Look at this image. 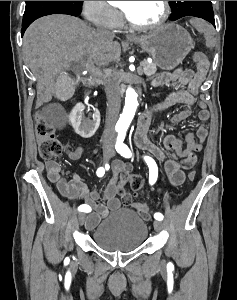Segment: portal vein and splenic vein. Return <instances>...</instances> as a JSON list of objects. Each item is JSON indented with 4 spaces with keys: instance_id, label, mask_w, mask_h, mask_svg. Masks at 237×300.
I'll return each instance as SVG.
<instances>
[{
    "instance_id": "obj_1",
    "label": "portal vein and splenic vein",
    "mask_w": 237,
    "mask_h": 300,
    "mask_svg": "<svg viewBox=\"0 0 237 300\" xmlns=\"http://www.w3.org/2000/svg\"><path fill=\"white\" fill-rule=\"evenodd\" d=\"M146 63H145V61L143 60L142 62H141V67H143V68H146V65H145Z\"/></svg>"
}]
</instances>
